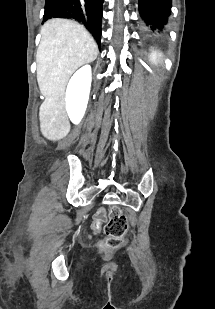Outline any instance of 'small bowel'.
Wrapping results in <instances>:
<instances>
[{
    "instance_id": "obj_1",
    "label": "small bowel",
    "mask_w": 215,
    "mask_h": 309,
    "mask_svg": "<svg viewBox=\"0 0 215 309\" xmlns=\"http://www.w3.org/2000/svg\"><path fill=\"white\" fill-rule=\"evenodd\" d=\"M105 218H106L105 213L102 211L96 215V218H95L96 221L93 224V226L94 225L96 226L94 228L95 231H98L100 229V224L105 220Z\"/></svg>"
}]
</instances>
